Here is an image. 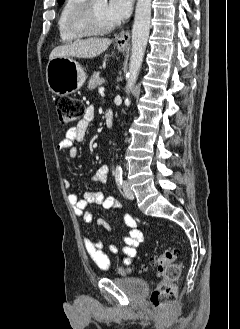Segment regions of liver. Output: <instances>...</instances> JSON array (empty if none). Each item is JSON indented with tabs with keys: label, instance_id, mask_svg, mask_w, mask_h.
Segmentation results:
<instances>
[{
	"label": "liver",
	"instance_id": "obj_1",
	"mask_svg": "<svg viewBox=\"0 0 240 329\" xmlns=\"http://www.w3.org/2000/svg\"><path fill=\"white\" fill-rule=\"evenodd\" d=\"M111 40L108 38H90L55 47L49 60L56 57L94 58L108 49Z\"/></svg>",
	"mask_w": 240,
	"mask_h": 329
}]
</instances>
